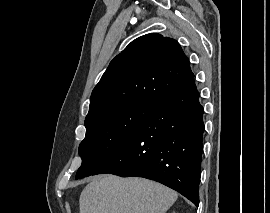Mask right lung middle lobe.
Listing matches in <instances>:
<instances>
[{
	"label": "right lung middle lobe",
	"instance_id": "1",
	"mask_svg": "<svg viewBox=\"0 0 270 213\" xmlns=\"http://www.w3.org/2000/svg\"><path fill=\"white\" fill-rule=\"evenodd\" d=\"M156 103L135 100L85 120L86 136L79 146L82 165L76 179L93 175L136 132Z\"/></svg>",
	"mask_w": 270,
	"mask_h": 213
}]
</instances>
